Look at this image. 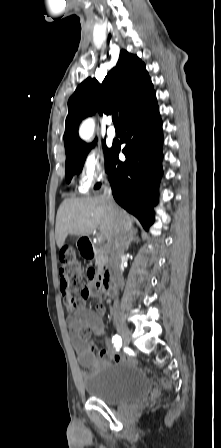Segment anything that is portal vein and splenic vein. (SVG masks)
<instances>
[{
  "instance_id": "portal-vein-and-splenic-vein-1",
  "label": "portal vein and splenic vein",
  "mask_w": 221,
  "mask_h": 448,
  "mask_svg": "<svg viewBox=\"0 0 221 448\" xmlns=\"http://www.w3.org/2000/svg\"><path fill=\"white\" fill-rule=\"evenodd\" d=\"M103 239H104L103 235H100V236L98 237V241H99V242H102Z\"/></svg>"
}]
</instances>
